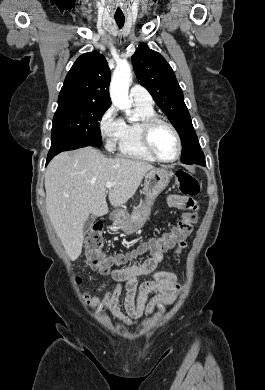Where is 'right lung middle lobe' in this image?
Instances as JSON below:
<instances>
[{
  "mask_svg": "<svg viewBox=\"0 0 265 390\" xmlns=\"http://www.w3.org/2000/svg\"><path fill=\"white\" fill-rule=\"evenodd\" d=\"M108 106L81 101L58 102L53 117L52 143L72 142L101 146L100 123Z\"/></svg>",
  "mask_w": 265,
  "mask_h": 390,
  "instance_id": "dd1d6c3e",
  "label": "right lung middle lobe"
}]
</instances>
